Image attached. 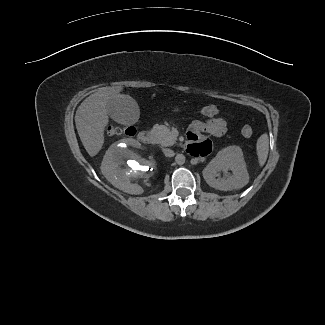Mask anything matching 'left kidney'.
I'll return each mask as SVG.
<instances>
[{
	"label": "left kidney",
	"instance_id": "obj_1",
	"mask_svg": "<svg viewBox=\"0 0 325 325\" xmlns=\"http://www.w3.org/2000/svg\"><path fill=\"white\" fill-rule=\"evenodd\" d=\"M221 170H231L232 173L227 178H217ZM202 173L209 186L222 191L240 189L249 181L243 152L238 146H229L219 151Z\"/></svg>",
	"mask_w": 325,
	"mask_h": 325
}]
</instances>
